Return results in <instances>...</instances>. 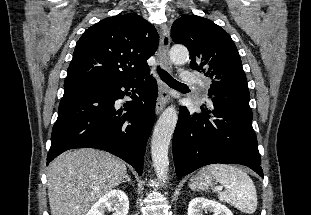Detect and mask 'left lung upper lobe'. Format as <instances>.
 I'll list each match as a JSON object with an SVG mask.
<instances>
[{
	"label": "left lung upper lobe",
	"instance_id": "1",
	"mask_svg": "<svg viewBox=\"0 0 311 215\" xmlns=\"http://www.w3.org/2000/svg\"><path fill=\"white\" fill-rule=\"evenodd\" d=\"M175 43L190 53V67L212 80L209 96L249 101L247 79L230 35L209 19L184 15L171 28Z\"/></svg>",
	"mask_w": 311,
	"mask_h": 215
}]
</instances>
